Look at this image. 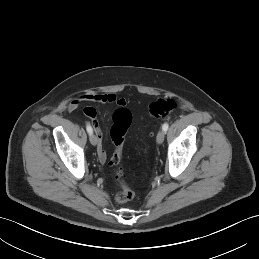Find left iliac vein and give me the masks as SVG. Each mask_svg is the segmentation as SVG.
Masks as SVG:
<instances>
[{"instance_id": "obj_1", "label": "left iliac vein", "mask_w": 259, "mask_h": 259, "mask_svg": "<svg viewBox=\"0 0 259 259\" xmlns=\"http://www.w3.org/2000/svg\"><path fill=\"white\" fill-rule=\"evenodd\" d=\"M165 138V132L163 130L159 131L156 137L157 143L162 144Z\"/></svg>"}]
</instances>
